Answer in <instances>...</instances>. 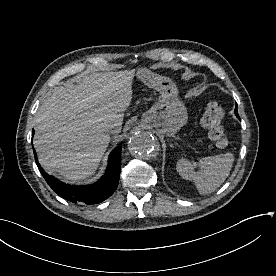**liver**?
<instances>
[{
	"instance_id": "6515ba94",
	"label": "liver",
	"mask_w": 276,
	"mask_h": 276,
	"mask_svg": "<svg viewBox=\"0 0 276 276\" xmlns=\"http://www.w3.org/2000/svg\"><path fill=\"white\" fill-rule=\"evenodd\" d=\"M135 70L84 75L55 87L36 117L34 146L41 166L65 183L93 175L108 147L105 124H118L131 103Z\"/></svg>"
}]
</instances>
